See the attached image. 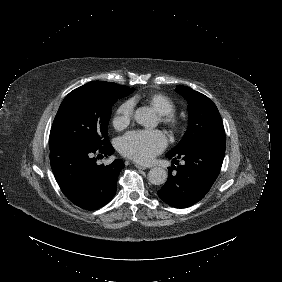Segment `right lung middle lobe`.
<instances>
[{
	"label": "right lung middle lobe",
	"instance_id": "right-lung-middle-lobe-1",
	"mask_svg": "<svg viewBox=\"0 0 282 282\" xmlns=\"http://www.w3.org/2000/svg\"><path fill=\"white\" fill-rule=\"evenodd\" d=\"M135 89L112 82L93 81L70 92L54 119L49 145L50 150L68 143H110L108 123L111 107Z\"/></svg>",
	"mask_w": 282,
	"mask_h": 282
}]
</instances>
